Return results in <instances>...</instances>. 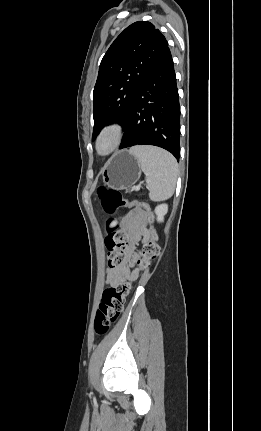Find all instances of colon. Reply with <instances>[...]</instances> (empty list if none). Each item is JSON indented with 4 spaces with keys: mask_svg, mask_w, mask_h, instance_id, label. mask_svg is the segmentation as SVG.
Wrapping results in <instances>:
<instances>
[{
    "mask_svg": "<svg viewBox=\"0 0 261 431\" xmlns=\"http://www.w3.org/2000/svg\"><path fill=\"white\" fill-rule=\"evenodd\" d=\"M98 197L104 211L113 214L122 206L138 208L148 215L150 222L153 216L150 207L146 203L136 201H126L120 191L115 189L100 188ZM127 234L115 227H109L105 238L108 263L111 267H116L124 262V249L127 245ZM160 248L157 244V235L152 227L148 230L147 238L143 244L140 258L137 265L140 270L145 271L151 263L158 257ZM131 283L129 281L113 285L104 290L102 299L95 318V331L97 334H105L110 325L120 316L125 299L129 294Z\"/></svg>",
    "mask_w": 261,
    "mask_h": 431,
    "instance_id": "obj_1",
    "label": "colon"
}]
</instances>
